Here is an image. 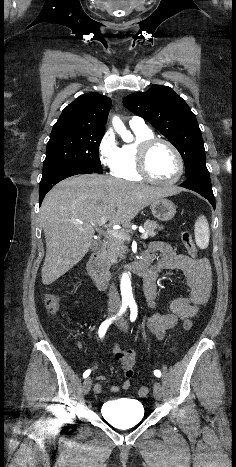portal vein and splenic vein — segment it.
<instances>
[{
    "label": "portal vein and splenic vein",
    "mask_w": 236,
    "mask_h": 467,
    "mask_svg": "<svg viewBox=\"0 0 236 467\" xmlns=\"http://www.w3.org/2000/svg\"><path fill=\"white\" fill-rule=\"evenodd\" d=\"M107 222V218L106 217H103L99 223V225H104L105 223ZM106 232L110 235V236H113V237H116L118 239H122V240H129V236L122 232V231H119L115 228H107L106 229ZM140 232L142 233L141 235V238L142 239H147L148 237V233L146 230H144L143 228L140 230Z\"/></svg>",
    "instance_id": "1"
}]
</instances>
